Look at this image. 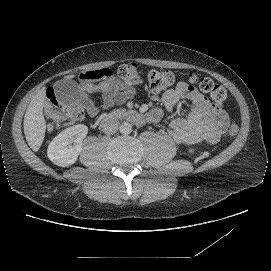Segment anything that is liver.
<instances>
[{
    "mask_svg": "<svg viewBox=\"0 0 271 271\" xmlns=\"http://www.w3.org/2000/svg\"><path fill=\"white\" fill-rule=\"evenodd\" d=\"M73 75L66 76L71 78ZM46 88H41L31 100L23 121V128L26 141L30 148L37 152L44 140L46 132V121L43 115Z\"/></svg>",
    "mask_w": 271,
    "mask_h": 271,
    "instance_id": "6515ba94",
    "label": "liver"
}]
</instances>
